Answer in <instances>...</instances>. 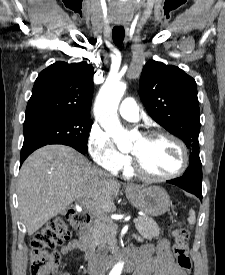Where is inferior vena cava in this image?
<instances>
[{"instance_id": "602c4592", "label": "inferior vena cava", "mask_w": 225, "mask_h": 275, "mask_svg": "<svg viewBox=\"0 0 225 275\" xmlns=\"http://www.w3.org/2000/svg\"><path fill=\"white\" fill-rule=\"evenodd\" d=\"M106 253H103L101 256L99 264L96 266L93 275H105V266H104V259H105Z\"/></svg>"}]
</instances>
